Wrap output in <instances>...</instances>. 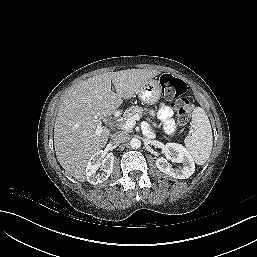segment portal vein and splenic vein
Segmentation results:
<instances>
[{
	"label": "portal vein and splenic vein",
	"mask_w": 257,
	"mask_h": 257,
	"mask_svg": "<svg viewBox=\"0 0 257 257\" xmlns=\"http://www.w3.org/2000/svg\"><path fill=\"white\" fill-rule=\"evenodd\" d=\"M139 120H140V116L134 115L131 118L127 119L125 123H117L116 126H118L123 130H128L133 128L135 126L136 121H139Z\"/></svg>",
	"instance_id": "1"
}]
</instances>
